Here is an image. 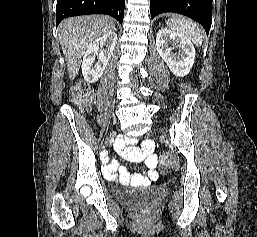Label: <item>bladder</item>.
I'll return each mask as SVG.
<instances>
[{"instance_id":"obj_1","label":"bladder","mask_w":257,"mask_h":237,"mask_svg":"<svg viewBox=\"0 0 257 237\" xmlns=\"http://www.w3.org/2000/svg\"><path fill=\"white\" fill-rule=\"evenodd\" d=\"M123 199L128 203H137L141 201L152 202L156 199V192L153 190L136 193L129 192L123 196Z\"/></svg>"}]
</instances>
